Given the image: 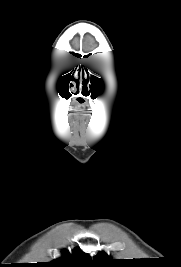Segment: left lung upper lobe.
Listing matches in <instances>:
<instances>
[{"label": "left lung upper lobe", "mask_w": 181, "mask_h": 267, "mask_svg": "<svg viewBox=\"0 0 181 267\" xmlns=\"http://www.w3.org/2000/svg\"><path fill=\"white\" fill-rule=\"evenodd\" d=\"M94 261L99 267H115V266L122 264L120 260L112 259L110 256H108L103 251L99 252L94 257Z\"/></svg>", "instance_id": "left-lung-upper-lobe-1"}]
</instances>
